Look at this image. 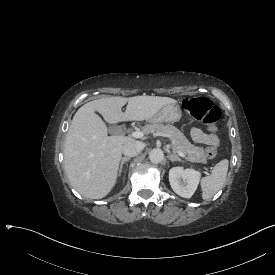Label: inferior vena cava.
Returning a JSON list of instances; mask_svg holds the SVG:
<instances>
[{
	"label": "inferior vena cava",
	"mask_w": 275,
	"mask_h": 275,
	"mask_svg": "<svg viewBox=\"0 0 275 275\" xmlns=\"http://www.w3.org/2000/svg\"><path fill=\"white\" fill-rule=\"evenodd\" d=\"M142 150V145L139 141L131 140L123 144V154L127 157H133L139 154Z\"/></svg>",
	"instance_id": "inferior-vena-cava-1"
}]
</instances>
